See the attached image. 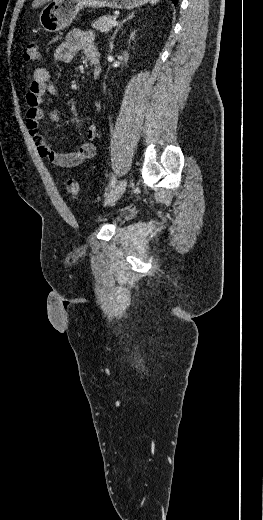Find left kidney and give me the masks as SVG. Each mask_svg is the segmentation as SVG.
<instances>
[{"label": "left kidney", "mask_w": 263, "mask_h": 520, "mask_svg": "<svg viewBox=\"0 0 263 520\" xmlns=\"http://www.w3.org/2000/svg\"><path fill=\"white\" fill-rule=\"evenodd\" d=\"M133 36H134V33H132V34H131L130 38H132V39H133V38H134Z\"/></svg>", "instance_id": "1"}]
</instances>
